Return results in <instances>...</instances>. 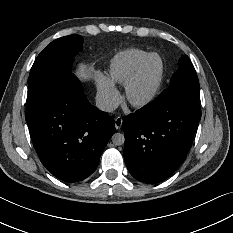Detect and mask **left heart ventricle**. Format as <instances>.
Masks as SVG:
<instances>
[{
	"mask_svg": "<svg viewBox=\"0 0 233 233\" xmlns=\"http://www.w3.org/2000/svg\"><path fill=\"white\" fill-rule=\"evenodd\" d=\"M163 60L159 56H155L151 59L149 65L141 75L140 79L134 85L132 89V96L136 100H145L149 98L162 75Z\"/></svg>",
	"mask_w": 233,
	"mask_h": 233,
	"instance_id": "left-heart-ventricle-1",
	"label": "left heart ventricle"
}]
</instances>
